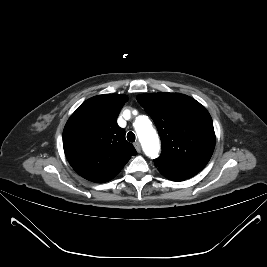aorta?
I'll list each match as a JSON object with an SVG mask.
<instances>
[{
	"label": "aorta",
	"mask_w": 267,
	"mask_h": 267,
	"mask_svg": "<svg viewBox=\"0 0 267 267\" xmlns=\"http://www.w3.org/2000/svg\"><path fill=\"white\" fill-rule=\"evenodd\" d=\"M133 127L145 154L151 158L157 157L160 150V143L150 119L147 116L140 115L136 117Z\"/></svg>",
	"instance_id": "obj_1"
}]
</instances>
